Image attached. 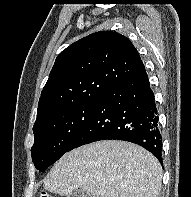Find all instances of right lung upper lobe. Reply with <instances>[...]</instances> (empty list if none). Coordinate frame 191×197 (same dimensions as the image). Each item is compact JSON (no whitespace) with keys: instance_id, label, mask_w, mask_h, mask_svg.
<instances>
[{"instance_id":"1","label":"right lung upper lobe","mask_w":191,"mask_h":197,"mask_svg":"<svg viewBox=\"0 0 191 197\" xmlns=\"http://www.w3.org/2000/svg\"><path fill=\"white\" fill-rule=\"evenodd\" d=\"M143 70L139 53L127 37L113 31L88 35L57 56L41 93L35 124L60 110L98 101L110 86Z\"/></svg>"}]
</instances>
